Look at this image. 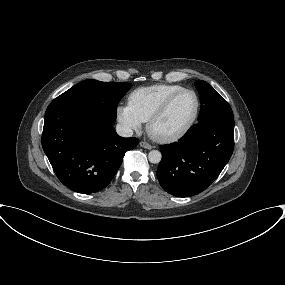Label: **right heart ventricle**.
Returning <instances> with one entry per match:
<instances>
[{
    "mask_svg": "<svg viewBox=\"0 0 285 285\" xmlns=\"http://www.w3.org/2000/svg\"><path fill=\"white\" fill-rule=\"evenodd\" d=\"M182 88V86L170 84H157L138 88L129 95V105L142 122H147L152 113L170 95Z\"/></svg>",
    "mask_w": 285,
    "mask_h": 285,
    "instance_id": "e07e8e85",
    "label": "right heart ventricle"
}]
</instances>
